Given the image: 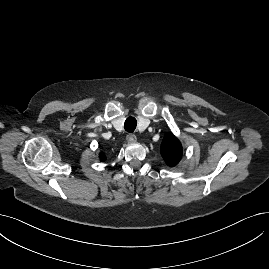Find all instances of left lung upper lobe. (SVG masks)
<instances>
[{"instance_id": "5c2ea615", "label": "left lung upper lobe", "mask_w": 269, "mask_h": 269, "mask_svg": "<svg viewBox=\"0 0 269 269\" xmlns=\"http://www.w3.org/2000/svg\"><path fill=\"white\" fill-rule=\"evenodd\" d=\"M161 155L170 167L175 166L180 161L182 145L172 133H168L164 137L161 144Z\"/></svg>"}]
</instances>
